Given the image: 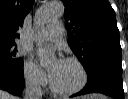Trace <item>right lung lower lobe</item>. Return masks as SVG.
<instances>
[{"label": "right lung lower lobe", "instance_id": "1", "mask_svg": "<svg viewBox=\"0 0 128 99\" xmlns=\"http://www.w3.org/2000/svg\"><path fill=\"white\" fill-rule=\"evenodd\" d=\"M24 86L23 70L15 75L0 71V89L6 90L13 95H20Z\"/></svg>", "mask_w": 128, "mask_h": 99}]
</instances>
